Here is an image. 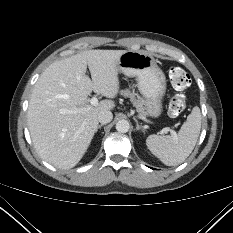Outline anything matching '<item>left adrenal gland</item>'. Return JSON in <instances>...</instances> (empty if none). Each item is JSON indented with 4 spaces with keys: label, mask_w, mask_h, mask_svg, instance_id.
Here are the masks:
<instances>
[{
    "label": "left adrenal gland",
    "mask_w": 233,
    "mask_h": 233,
    "mask_svg": "<svg viewBox=\"0 0 233 233\" xmlns=\"http://www.w3.org/2000/svg\"><path fill=\"white\" fill-rule=\"evenodd\" d=\"M136 122V131H141V132H144V130L141 128V126L139 125L138 121L135 120Z\"/></svg>",
    "instance_id": "obj_1"
}]
</instances>
